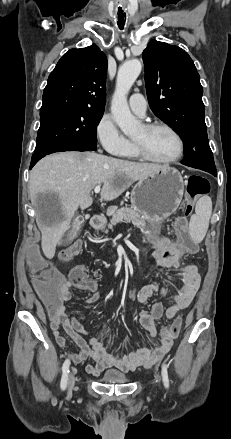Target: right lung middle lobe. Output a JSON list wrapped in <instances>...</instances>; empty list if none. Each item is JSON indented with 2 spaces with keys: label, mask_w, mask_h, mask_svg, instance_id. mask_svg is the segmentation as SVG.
<instances>
[{
  "label": "right lung middle lobe",
  "mask_w": 231,
  "mask_h": 439,
  "mask_svg": "<svg viewBox=\"0 0 231 439\" xmlns=\"http://www.w3.org/2000/svg\"><path fill=\"white\" fill-rule=\"evenodd\" d=\"M103 113L104 110L73 109L41 117L34 153L64 148L96 151V131Z\"/></svg>",
  "instance_id": "1"
}]
</instances>
